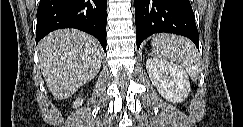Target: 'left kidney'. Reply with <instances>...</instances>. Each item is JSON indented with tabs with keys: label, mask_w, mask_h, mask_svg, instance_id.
Wrapping results in <instances>:
<instances>
[{
	"label": "left kidney",
	"mask_w": 243,
	"mask_h": 127,
	"mask_svg": "<svg viewBox=\"0 0 243 127\" xmlns=\"http://www.w3.org/2000/svg\"><path fill=\"white\" fill-rule=\"evenodd\" d=\"M150 80L158 92L173 103H180L190 92V82L187 73L180 66L151 58L146 63Z\"/></svg>",
	"instance_id": "1"
}]
</instances>
